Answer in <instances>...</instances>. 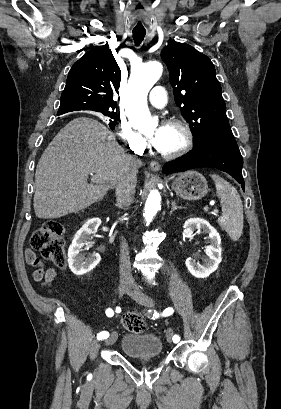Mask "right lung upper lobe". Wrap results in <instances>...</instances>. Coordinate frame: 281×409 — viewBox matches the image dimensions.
Segmentation results:
<instances>
[{"label": "right lung upper lobe", "mask_w": 281, "mask_h": 409, "mask_svg": "<svg viewBox=\"0 0 281 409\" xmlns=\"http://www.w3.org/2000/svg\"><path fill=\"white\" fill-rule=\"evenodd\" d=\"M120 68L108 46L89 50L73 64L67 77L57 115L71 111H113V94L120 86Z\"/></svg>", "instance_id": "obj_1"}]
</instances>
